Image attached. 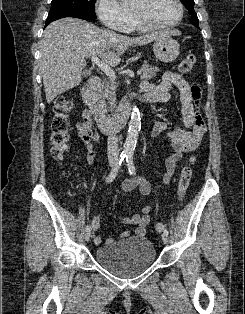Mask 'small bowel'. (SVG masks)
I'll list each match as a JSON object with an SVG mask.
<instances>
[{
  "mask_svg": "<svg viewBox=\"0 0 245 314\" xmlns=\"http://www.w3.org/2000/svg\"><path fill=\"white\" fill-rule=\"evenodd\" d=\"M175 86L180 91V100L182 104L183 128L168 130L166 122L159 121L151 130V136L156 138L164 135L169 143L171 150L165 160V171L162 183L168 184L174 175L176 164L180 161L183 154L196 148L202 141L206 126L204 119L199 111L202 98L200 86L197 83H188L181 75L174 72H166L159 84L143 83V98L149 103H165L170 100V91ZM78 137L86 150V161L93 164L95 161V142L98 140V134L95 130L93 119L84 112L80 122L77 124ZM121 188L124 192H131L138 189L142 196H148L151 192V184L140 177L125 180ZM152 210L151 205L142 207L140 214H134L131 217L122 218L123 224H132L135 226L134 234L136 237H144L146 228L151 222L149 213ZM100 228V220L97 216L92 219V229L97 231ZM122 238L130 236L129 231H123ZM102 238L96 236L94 242L101 243ZM106 242H113L112 238Z\"/></svg>",
  "mask_w": 245,
  "mask_h": 314,
  "instance_id": "obj_1",
  "label": "small bowel"
}]
</instances>
